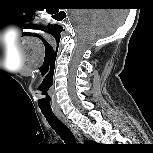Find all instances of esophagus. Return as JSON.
<instances>
[{"label":"esophagus","mask_w":153,"mask_h":153,"mask_svg":"<svg viewBox=\"0 0 153 153\" xmlns=\"http://www.w3.org/2000/svg\"><path fill=\"white\" fill-rule=\"evenodd\" d=\"M56 116L71 130L75 138L79 143L84 142V137L78 130V128L72 124L63 114L61 113H56Z\"/></svg>","instance_id":"obj_1"}]
</instances>
